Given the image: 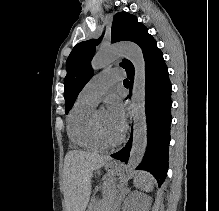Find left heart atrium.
<instances>
[{
    "mask_svg": "<svg viewBox=\"0 0 219 211\" xmlns=\"http://www.w3.org/2000/svg\"><path fill=\"white\" fill-rule=\"evenodd\" d=\"M107 117L111 126L121 132L126 125V114L124 104L117 96H111L107 100Z\"/></svg>",
    "mask_w": 219,
    "mask_h": 211,
    "instance_id": "left-heart-atrium-1",
    "label": "left heart atrium"
}]
</instances>
